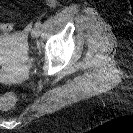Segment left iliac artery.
Wrapping results in <instances>:
<instances>
[{
    "label": "left iliac artery",
    "instance_id": "1",
    "mask_svg": "<svg viewBox=\"0 0 133 133\" xmlns=\"http://www.w3.org/2000/svg\"><path fill=\"white\" fill-rule=\"evenodd\" d=\"M41 26H42V24H41V22H40V21H37V22L35 23V27L40 28Z\"/></svg>",
    "mask_w": 133,
    "mask_h": 133
}]
</instances>
